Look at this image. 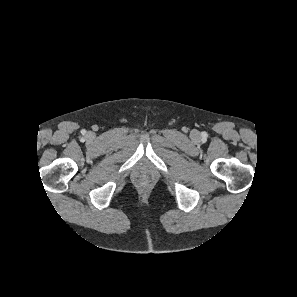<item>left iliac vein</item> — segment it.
I'll return each mask as SVG.
<instances>
[{"instance_id":"4c4485c4","label":"left iliac vein","mask_w":297,"mask_h":297,"mask_svg":"<svg viewBox=\"0 0 297 297\" xmlns=\"http://www.w3.org/2000/svg\"><path fill=\"white\" fill-rule=\"evenodd\" d=\"M198 136H199L198 132H193V137L194 138H198Z\"/></svg>"}]
</instances>
